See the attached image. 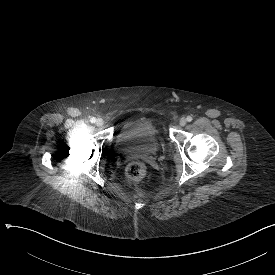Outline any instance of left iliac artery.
I'll return each instance as SVG.
<instances>
[{"label": "left iliac artery", "instance_id": "44dca946", "mask_svg": "<svg viewBox=\"0 0 275 275\" xmlns=\"http://www.w3.org/2000/svg\"><path fill=\"white\" fill-rule=\"evenodd\" d=\"M186 120H187L188 122H191V121L193 120V118H192L191 116H187Z\"/></svg>", "mask_w": 275, "mask_h": 275}]
</instances>
